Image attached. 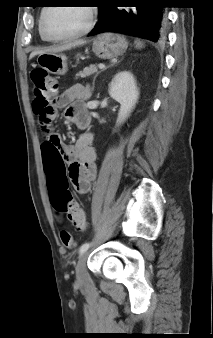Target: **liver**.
I'll return each instance as SVG.
<instances>
[{"mask_svg":"<svg viewBox=\"0 0 213 338\" xmlns=\"http://www.w3.org/2000/svg\"><path fill=\"white\" fill-rule=\"evenodd\" d=\"M84 43H85V41L79 40V41H75L73 43H69V44H65V45H61V46H52V47H48V48H45V49L33 51L30 54V59H32L36 55L59 53V52L65 51V50H69L73 47L83 45Z\"/></svg>","mask_w":213,"mask_h":338,"instance_id":"obj_1","label":"liver"}]
</instances>
